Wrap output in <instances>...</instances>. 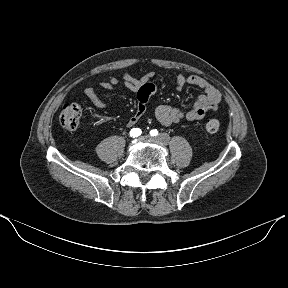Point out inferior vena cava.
I'll return each instance as SVG.
<instances>
[{
    "mask_svg": "<svg viewBox=\"0 0 288 288\" xmlns=\"http://www.w3.org/2000/svg\"><path fill=\"white\" fill-rule=\"evenodd\" d=\"M155 138L163 147H168L170 145L169 137L163 131H157L155 133Z\"/></svg>",
    "mask_w": 288,
    "mask_h": 288,
    "instance_id": "1",
    "label": "inferior vena cava"
}]
</instances>
